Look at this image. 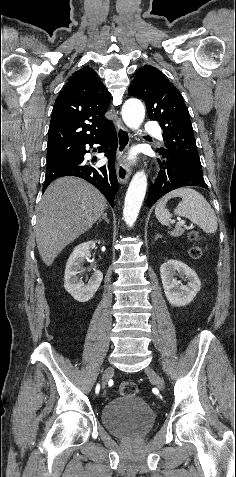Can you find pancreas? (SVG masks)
I'll return each mask as SVG.
<instances>
[{
  "mask_svg": "<svg viewBox=\"0 0 236 477\" xmlns=\"http://www.w3.org/2000/svg\"><path fill=\"white\" fill-rule=\"evenodd\" d=\"M183 232H184V229L177 228L175 231L171 232V235L173 237H179L183 234Z\"/></svg>",
  "mask_w": 236,
  "mask_h": 477,
  "instance_id": "cf45deb5",
  "label": "pancreas"
}]
</instances>
